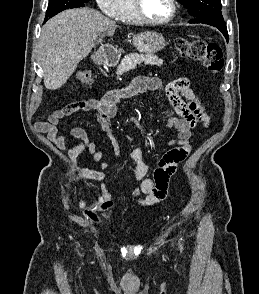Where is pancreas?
<instances>
[{
  "label": "pancreas",
  "mask_w": 259,
  "mask_h": 294,
  "mask_svg": "<svg viewBox=\"0 0 259 294\" xmlns=\"http://www.w3.org/2000/svg\"><path fill=\"white\" fill-rule=\"evenodd\" d=\"M141 63H144L145 65L161 66L163 64V60L153 54L132 53L122 59L118 66L117 74L121 75L127 71L133 70Z\"/></svg>",
  "instance_id": "cf45deb5"
}]
</instances>
